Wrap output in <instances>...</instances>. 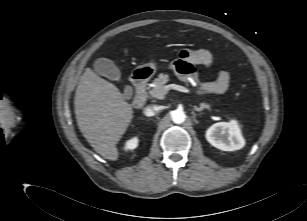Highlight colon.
I'll return each instance as SVG.
<instances>
[{
  "label": "colon",
  "instance_id": "1",
  "mask_svg": "<svg viewBox=\"0 0 307 221\" xmlns=\"http://www.w3.org/2000/svg\"><path fill=\"white\" fill-rule=\"evenodd\" d=\"M182 51H183V50H176V52H177V54L179 55V57L182 56Z\"/></svg>",
  "mask_w": 307,
  "mask_h": 221
}]
</instances>
